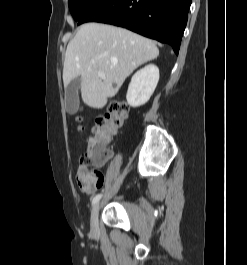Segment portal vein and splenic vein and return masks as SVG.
Masks as SVG:
<instances>
[{"label":"portal vein and splenic vein","instance_id":"obj_1","mask_svg":"<svg viewBox=\"0 0 247 265\" xmlns=\"http://www.w3.org/2000/svg\"><path fill=\"white\" fill-rule=\"evenodd\" d=\"M92 63H94V61H92ZM98 75H99L100 78L105 79V75H104V73L102 71H99Z\"/></svg>","mask_w":247,"mask_h":265}]
</instances>
